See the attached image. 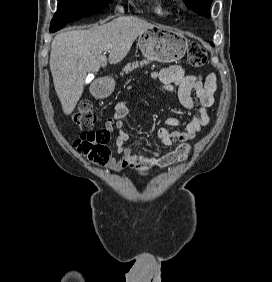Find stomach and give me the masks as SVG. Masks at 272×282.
Returning <instances> with one entry per match:
<instances>
[{
  "label": "stomach",
  "instance_id": "stomach-1",
  "mask_svg": "<svg viewBox=\"0 0 272 282\" xmlns=\"http://www.w3.org/2000/svg\"><path fill=\"white\" fill-rule=\"evenodd\" d=\"M138 46L146 58L170 63L184 56L188 42L181 33L169 27L157 25L139 35ZM114 87V79L108 78L105 83V92L111 93Z\"/></svg>",
  "mask_w": 272,
  "mask_h": 282
}]
</instances>
